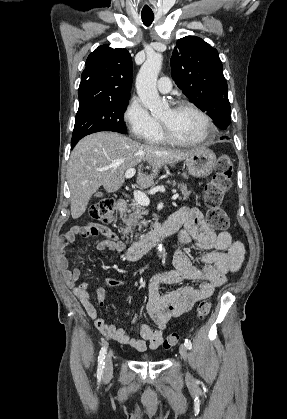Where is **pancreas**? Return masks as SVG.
Here are the masks:
<instances>
[{
	"mask_svg": "<svg viewBox=\"0 0 287 419\" xmlns=\"http://www.w3.org/2000/svg\"><path fill=\"white\" fill-rule=\"evenodd\" d=\"M178 188H180V191L182 193V199L186 200L189 195L191 194V191L188 190L186 184H178ZM148 214L147 209L139 204L136 200L132 201V204L130 205V208H128L121 216L123 223L125 224L124 227L121 228V232L124 235V237L127 238L128 233L133 234L134 228L138 226V230L141 231L143 226L146 225V222L144 221V216ZM141 236L137 234L135 236V239H139Z\"/></svg>",
	"mask_w": 287,
	"mask_h": 419,
	"instance_id": "cf45deb5",
	"label": "pancreas"
}]
</instances>
